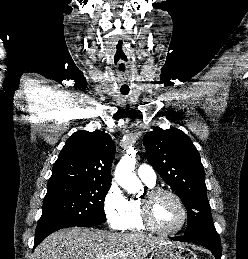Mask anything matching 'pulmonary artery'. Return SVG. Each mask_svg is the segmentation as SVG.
<instances>
[{
    "label": "pulmonary artery",
    "instance_id": "1",
    "mask_svg": "<svg viewBox=\"0 0 248 259\" xmlns=\"http://www.w3.org/2000/svg\"><path fill=\"white\" fill-rule=\"evenodd\" d=\"M137 174L139 178L148 185H154L156 182V172L150 165H140Z\"/></svg>",
    "mask_w": 248,
    "mask_h": 259
}]
</instances>
